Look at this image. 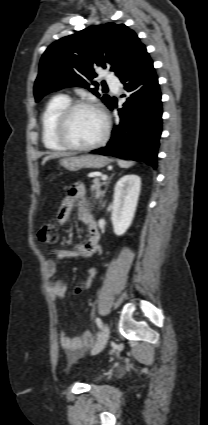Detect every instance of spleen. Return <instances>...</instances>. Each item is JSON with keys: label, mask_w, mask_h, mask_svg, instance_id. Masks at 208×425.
Returning <instances> with one entry per match:
<instances>
[{"label": "spleen", "mask_w": 208, "mask_h": 425, "mask_svg": "<svg viewBox=\"0 0 208 425\" xmlns=\"http://www.w3.org/2000/svg\"><path fill=\"white\" fill-rule=\"evenodd\" d=\"M117 163L121 168H129L134 165V163L131 161H125L120 159L117 160Z\"/></svg>", "instance_id": "3e777b00"}]
</instances>
